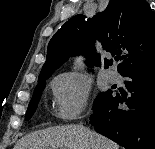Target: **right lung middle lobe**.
<instances>
[{"mask_svg": "<svg viewBox=\"0 0 155 149\" xmlns=\"http://www.w3.org/2000/svg\"><path fill=\"white\" fill-rule=\"evenodd\" d=\"M49 77H46V78H42V79H39L38 80V85L37 87L35 88L34 90V93H33V97L29 103V106H28V109H27V112H26V115H25V119L26 120H29L33 113L35 112L36 108H37V105H38V101L40 99V96L42 94V91L45 87V80L48 79ZM112 92L111 91H107V92H103V93H100L97 98L95 99L94 101V109L100 105L101 103L103 102H106L108 101L109 99L112 98Z\"/></svg>", "mask_w": 155, "mask_h": 149, "instance_id": "dd1d6c3e", "label": "right lung middle lobe"}]
</instances>
